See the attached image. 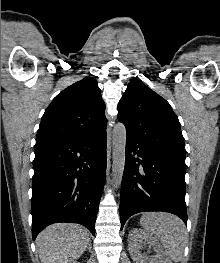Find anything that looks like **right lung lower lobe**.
Returning a JSON list of instances; mask_svg holds the SVG:
<instances>
[{"label":"right lung lower lobe","instance_id":"1","mask_svg":"<svg viewBox=\"0 0 220 263\" xmlns=\"http://www.w3.org/2000/svg\"><path fill=\"white\" fill-rule=\"evenodd\" d=\"M106 130L35 145L32 236L56 222L79 223L95 234L106 172Z\"/></svg>","mask_w":220,"mask_h":263}]
</instances>
